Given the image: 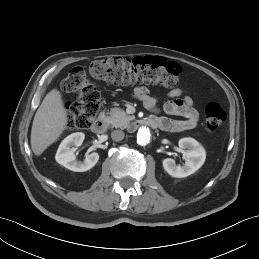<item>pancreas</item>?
<instances>
[{"mask_svg":"<svg viewBox=\"0 0 259 259\" xmlns=\"http://www.w3.org/2000/svg\"><path fill=\"white\" fill-rule=\"evenodd\" d=\"M109 115L106 117V121L115 128L125 129L130 124V121L134 119V116H129L120 108H112Z\"/></svg>","mask_w":259,"mask_h":259,"instance_id":"cf45deb5","label":"pancreas"}]
</instances>
